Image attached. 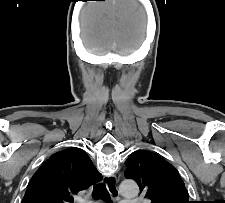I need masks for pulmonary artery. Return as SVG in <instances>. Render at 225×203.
Returning a JSON list of instances; mask_svg holds the SVG:
<instances>
[{
    "mask_svg": "<svg viewBox=\"0 0 225 203\" xmlns=\"http://www.w3.org/2000/svg\"><path fill=\"white\" fill-rule=\"evenodd\" d=\"M121 203H139V202L137 200L126 199V200H122Z\"/></svg>",
    "mask_w": 225,
    "mask_h": 203,
    "instance_id": "pulmonary-artery-1",
    "label": "pulmonary artery"
}]
</instances>
